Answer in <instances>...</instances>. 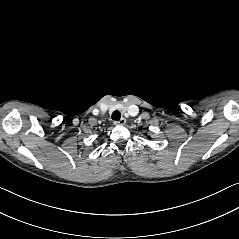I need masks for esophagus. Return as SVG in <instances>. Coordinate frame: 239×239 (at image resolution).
I'll return each instance as SVG.
<instances>
[{"instance_id": "obj_1", "label": "esophagus", "mask_w": 239, "mask_h": 239, "mask_svg": "<svg viewBox=\"0 0 239 239\" xmlns=\"http://www.w3.org/2000/svg\"><path fill=\"white\" fill-rule=\"evenodd\" d=\"M126 123L125 118H121L119 121H115L114 124L124 125Z\"/></svg>"}]
</instances>
